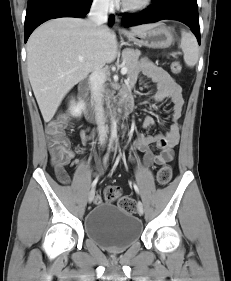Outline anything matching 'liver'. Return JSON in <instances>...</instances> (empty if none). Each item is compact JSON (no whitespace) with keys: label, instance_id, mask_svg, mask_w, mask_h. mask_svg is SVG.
Here are the masks:
<instances>
[{"label":"liver","instance_id":"liver-1","mask_svg":"<svg viewBox=\"0 0 231 281\" xmlns=\"http://www.w3.org/2000/svg\"><path fill=\"white\" fill-rule=\"evenodd\" d=\"M117 53L116 35L106 26L96 28L90 20L57 18L38 27L27 42V70L44 121H51L74 85L98 65L114 61Z\"/></svg>","mask_w":231,"mask_h":281}]
</instances>
